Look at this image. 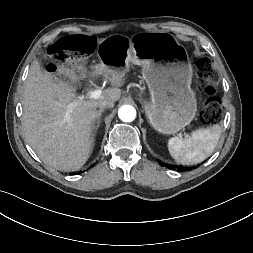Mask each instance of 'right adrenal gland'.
Masks as SVG:
<instances>
[{
	"mask_svg": "<svg viewBox=\"0 0 253 253\" xmlns=\"http://www.w3.org/2000/svg\"><path fill=\"white\" fill-rule=\"evenodd\" d=\"M104 111V109H101L98 111V115H97V118L96 120L93 122V126H92V130H93V136L95 135V133L97 132L99 126H100V119H101V115H102V112Z\"/></svg>",
	"mask_w": 253,
	"mask_h": 253,
	"instance_id": "2a0ac1e0",
	"label": "right adrenal gland"
}]
</instances>
